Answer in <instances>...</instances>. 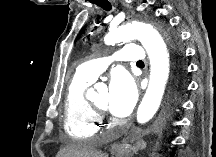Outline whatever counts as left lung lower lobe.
<instances>
[{
    "instance_id": "left-lung-lower-lobe-1",
    "label": "left lung lower lobe",
    "mask_w": 216,
    "mask_h": 157,
    "mask_svg": "<svg viewBox=\"0 0 216 157\" xmlns=\"http://www.w3.org/2000/svg\"><path fill=\"white\" fill-rule=\"evenodd\" d=\"M184 74H185V65L184 71L182 72L180 68L175 65L174 67V80H173V97L178 98L179 94L185 88V81H184Z\"/></svg>"
}]
</instances>
